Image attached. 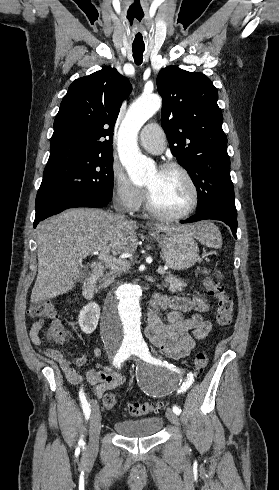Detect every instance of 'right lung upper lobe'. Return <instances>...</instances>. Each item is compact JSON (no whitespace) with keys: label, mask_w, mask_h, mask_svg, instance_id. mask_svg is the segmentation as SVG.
I'll list each match as a JSON object with an SVG mask.
<instances>
[{"label":"right lung upper lobe","mask_w":279,"mask_h":490,"mask_svg":"<svg viewBox=\"0 0 279 490\" xmlns=\"http://www.w3.org/2000/svg\"><path fill=\"white\" fill-rule=\"evenodd\" d=\"M130 92L128 79L108 66L75 80L55 117L48 163L113 149V127Z\"/></svg>","instance_id":"1"}]
</instances>
